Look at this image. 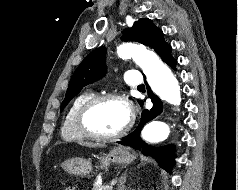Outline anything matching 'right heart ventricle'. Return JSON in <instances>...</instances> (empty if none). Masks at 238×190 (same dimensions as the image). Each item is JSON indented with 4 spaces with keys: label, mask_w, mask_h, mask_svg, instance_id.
Instances as JSON below:
<instances>
[{
    "label": "right heart ventricle",
    "mask_w": 238,
    "mask_h": 190,
    "mask_svg": "<svg viewBox=\"0 0 238 190\" xmlns=\"http://www.w3.org/2000/svg\"><path fill=\"white\" fill-rule=\"evenodd\" d=\"M94 96L91 91L78 95L70 105L61 127V136L67 142H79L86 138L80 133L76 124L77 114L80 108Z\"/></svg>",
    "instance_id": "e07e8e85"
}]
</instances>
